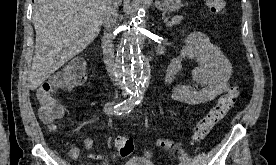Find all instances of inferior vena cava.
I'll return each instance as SVG.
<instances>
[{
    "label": "inferior vena cava",
    "mask_w": 276,
    "mask_h": 165,
    "mask_svg": "<svg viewBox=\"0 0 276 165\" xmlns=\"http://www.w3.org/2000/svg\"><path fill=\"white\" fill-rule=\"evenodd\" d=\"M118 4L119 0H105L103 5V22L107 32L104 33L102 39V48L107 71L112 77L115 76L117 66L114 61L113 35L111 31L117 22Z\"/></svg>",
    "instance_id": "602c4592"
}]
</instances>
